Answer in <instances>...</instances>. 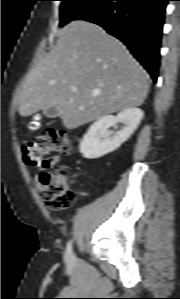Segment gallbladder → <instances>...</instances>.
Returning <instances> with one entry per match:
<instances>
[{
  "mask_svg": "<svg viewBox=\"0 0 180 299\" xmlns=\"http://www.w3.org/2000/svg\"><path fill=\"white\" fill-rule=\"evenodd\" d=\"M43 113L47 118H56L58 116V110L56 107L48 108L44 110Z\"/></svg>",
  "mask_w": 180,
  "mask_h": 299,
  "instance_id": "obj_1",
  "label": "gallbladder"
}]
</instances>
